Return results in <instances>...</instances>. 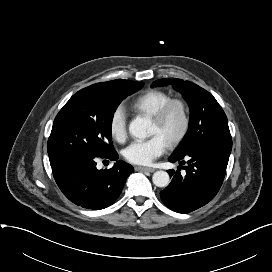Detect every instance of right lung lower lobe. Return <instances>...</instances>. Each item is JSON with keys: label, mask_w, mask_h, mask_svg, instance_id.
I'll return each mask as SVG.
<instances>
[{"label": "right lung lower lobe", "mask_w": 272, "mask_h": 272, "mask_svg": "<svg viewBox=\"0 0 272 272\" xmlns=\"http://www.w3.org/2000/svg\"><path fill=\"white\" fill-rule=\"evenodd\" d=\"M98 158L117 160V152L107 156L69 155L50 162L54 179L62 193L74 204L100 210L119 197L126 179L134 172L131 165L118 160L110 169L98 170Z\"/></svg>", "instance_id": "1"}]
</instances>
